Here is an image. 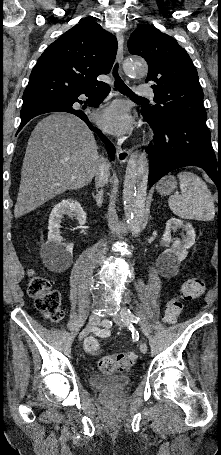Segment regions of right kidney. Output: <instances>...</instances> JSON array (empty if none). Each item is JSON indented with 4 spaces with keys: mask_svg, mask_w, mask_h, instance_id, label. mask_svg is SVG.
<instances>
[{
    "mask_svg": "<svg viewBox=\"0 0 221 455\" xmlns=\"http://www.w3.org/2000/svg\"><path fill=\"white\" fill-rule=\"evenodd\" d=\"M64 215L75 217L81 226L86 222V213L79 202L66 199L54 206L49 217L48 239L41 249L43 263L51 269H64L73 258V244L63 242L60 232Z\"/></svg>",
    "mask_w": 221,
    "mask_h": 455,
    "instance_id": "ca27d5eb",
    "label": "right kidney"
}]
</instances>
